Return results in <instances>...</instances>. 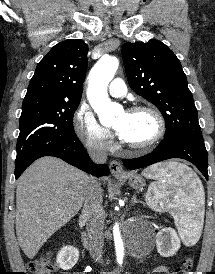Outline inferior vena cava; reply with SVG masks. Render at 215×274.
I'll list each match as a JSON object with an SVG mask.
<instances>
[{
    "mask_svg": "<svg viewBox=\"0 0 215 274\" xmlns=\"http://www.w3.org/2000/svg\"><path fill=\"white\" fill-rule=\"evenodd\" d=\"M89 155L96 163H105L107 160L106 147L99 142H94L89 147ZM102 189L100 183L93 177L87 186L82 217L87 222V232L90 238L92 250L98 260L102 258L104 247V210L102 207Z\"/></svg>",
    "mask_w": 215,
    "mask_h": 274,
    "instance_id": "inferior-vena-cava-1",
    "label": "inferior vena cava"
}]
</instances>
